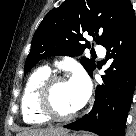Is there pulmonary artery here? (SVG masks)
<instances>
[{"label": "pulmonary artery", "instance_id": "e3ab8cb5", "mask_svg": "<svg viewBox=\"0 0 136 136\" xmlns=\"http://www.w3.org/2000/svg\"><path fill=\"white\" fill-rule=\"evenodd\" d=\"M95 50H96V52H97L99 55H101V56H103V55L105 54V49H104V47L101 46V45H97V46L95 47Z\"/></svg>", "mask_w": 136, "mask_h": 136}]
</instances>
